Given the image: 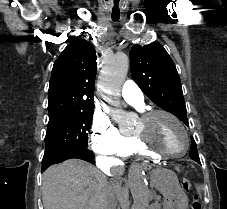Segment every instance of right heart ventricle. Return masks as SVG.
I'll list each match as a JSON object with an SVG mask.
<instances>
[{"label": "right heart ventricle", "instance_id": "e07e8e85", "mask_svg": "<svg viewBox=\"0 0 227 209\" xmlns=\"http://www.w3.org/2000/svg\"><path fill=\"white\" fill-rule=\"evenodd\" d=\"M123 157L136 156L143 159H148L150 161L157 162L159 158L148 155L134 140V138L129 137L127 146L123 152Z\"/></svg>", "mask_w": 227, "mask_h": 209}]
</instances>
